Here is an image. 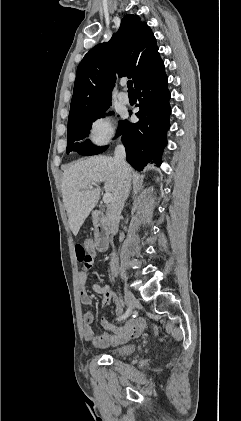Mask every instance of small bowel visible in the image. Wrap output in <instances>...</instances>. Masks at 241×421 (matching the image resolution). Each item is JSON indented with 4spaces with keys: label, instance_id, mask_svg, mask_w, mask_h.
<instances>
[{
    "label": "small bowel",
    "instance_id": "1",
    "mask_svg": "<svg viewBox=\"0 0 241 421\" xmlns=\"http://www.w3.org/2000/svg\"><path fill=\"white\" fill-rule=\"evenodd\" d=\"M90 268L91 266L84 265V268L78 273L79 297L81 303L86 307H90L92 305V298L87 290ZM93 290L102 296L103 307L108 306L111 301H117V297L110 286H100L98 284H94ZM82 318L84 324V338L99 348H108L124 344L130 339L138 337L147 325L144 318L136 317L130 319L124 327L114 328L109 324L106 318H102L101 325L104 328V332L94 334L91 327L94 320L93 313L87 310L83 313Z\"/></svg>",
    "mask_w": 241,
    "mask_h": 421
}]
</instances>
